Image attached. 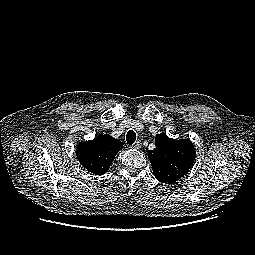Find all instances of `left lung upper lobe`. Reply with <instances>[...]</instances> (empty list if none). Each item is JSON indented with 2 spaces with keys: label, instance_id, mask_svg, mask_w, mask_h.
Returning <instances> with one entry per match:
<instances>
[{
  "label": "left lung upper lobe",
  "instance_id": "1",
  "mask_svg": "<svg viewBox=\"0 0 255 255\" xmlns=\"http://www.w3.org/2000/svg\"><path fill=\"white\" fill-rule=\"evenodd\" d=\"M156 148L148 151L154 176L158 181L172 184L183 177L194 163L196 152L189 139L175 140L165 133L155 137Z\"/></svg>",
  "mask_w": 255,
  "mask_h": 255
}]
</instances>
